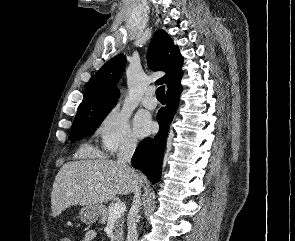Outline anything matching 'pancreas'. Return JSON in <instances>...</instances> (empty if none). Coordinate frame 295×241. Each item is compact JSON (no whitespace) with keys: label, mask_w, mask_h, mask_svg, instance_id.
<instances>
[{"label":"pancreas","mask_w":295,"mask_h":241,"mask_svg":"<svg viewBox=\"0 0 295 241\" xmlns=\"http://www.w3.org/2000/svg\"><path fill=\"white\" fill-rule=\"evenodd\" d=\"M114 204H110L107 207H104L102 214L100 216V222L102 224H106L109 221V212L110 208L113 207ZM114 240L121 241L123 239V226H124V216L121 215L119 218L114 220Z\"/></svg>","instance_id":"1"}]
</instances>
